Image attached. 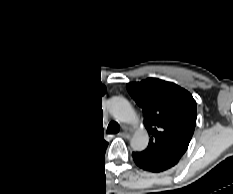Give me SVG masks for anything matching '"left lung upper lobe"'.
<instances>
[{
    "instance_id": "5c2ea615",
    "label": "left lung upper lobe",
    "mask_w": 233,
    "mask_h": 194,
    "mask_svg": "<svg viewBox=\"0 0 233 194\" xmlns=\"http://www.w3.org/2000/svg\"><path fill=\"white\" fill-rule=\"evenodd\" d=\"M126 87L142 108L150 135L148 148L143 152L179 160L188 148L196 125L197 108L192 95L174 83L156 78L129 83Z\"/></svg>"
}]
</instances>
